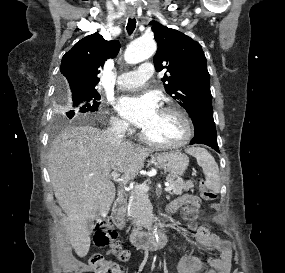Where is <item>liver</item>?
I'll return each mask as SVG.
<instances>
[{"mask_svg":"<svg viewBox=\"0 0 285 273\" xmlns=\"http://www.w3.org/2000/svg\"><path fill=\"white\" fill-rule=\"evenodd\" d=\"M152 151L131 142H114L91 126H69L52 142L48 169L54 194L68 218L67 236L79 257L90 248L88 220L97 212L106 216L116 190L110 172L122 173L121 183L132 180ZM119 190V197H123Z\"/></svg>","mask_w":285,"mask_h":273,"instance_id":"1","label":"liver"}]
</instances>
